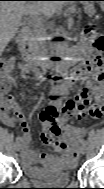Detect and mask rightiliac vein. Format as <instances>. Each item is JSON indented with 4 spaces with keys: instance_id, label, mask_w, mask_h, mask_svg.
Masks as SVG:
<instances>
[{
    "instance_id": "63e3f726",
    "label": "right iliac vein",
    "mask_w": 104,
    "mask_h": 189,
    "mask_svg": "<svg viewBox=\"0 0 104 189\" xmlns=\"http://www.w3.org/2000/svg\"><path fill=\"white\" fill-rule=\"evenodd\" d=\"M14 149H15V151H20L21 150V145L19 143H16L14 145Z\"/></svg>"
}]
</instances>
